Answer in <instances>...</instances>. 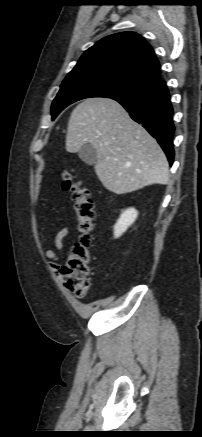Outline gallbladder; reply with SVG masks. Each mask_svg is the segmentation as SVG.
<instances>
[{
  "label": "gallbladder",
  "instance_id": "obj_1",
  "mask_svg": "<svg viewBox=\"0 0 202 437\" xmlns=\"http://www.w3.org/2000/svg\"><path fill=\"white\" fill-rule=\"evenodd\" d=\"M79 157L86 164L94 165L97 161V152L93 145L87 142L79 150Z\"/></svg>",
  "mask_w": 202,
  "mask_h": 437
}]
</instances>
